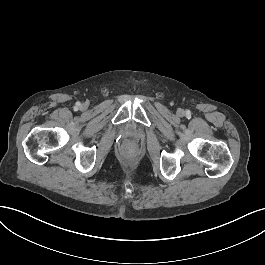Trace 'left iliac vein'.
Wrapping results in <instances>:
<instances>
[{"label": "left iliac vein", "mask_w": 265, "mask_h": 265, "mask_svg": "<svg viewBox=\"0 0 265 265\" xmlns=\"http://www.w3.org/2000/svg\"><path fill=\"white\" fill-rule=\"evenodd\" d=\"M177 114H178V116L184 115V110L183 109H178Z\"/></svg>", "instance_id": "obj_1"}]
</instances>
